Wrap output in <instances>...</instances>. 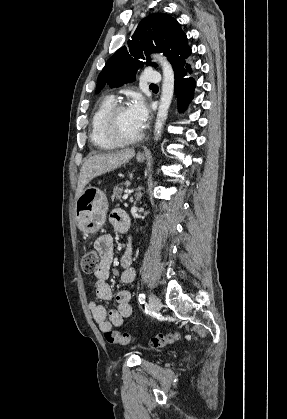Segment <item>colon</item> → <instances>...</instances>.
I'll list each match as a JSON object with an SVG mask.
<instances>
[{
	"label": "colon",
	"instance_id": "colon-1",
	"mask_svg": "<svg viewBox=\"0 0 287 419\" xmlns=\"http://www.w3.org/2000/svg\"><path fill=\"white\" fill-rule=\"evenodd\" d=\"M100 261V254L96 250H85L80 259L81 268L83 272L87 274L95 273L99 267ZM105 339L111 344L127 345L132 342L133 337L127 333L108 331L105 333ZM179 340L180 334L174 332L168 334H158L151 339L150 343L153 348H161Z\"/></svg>",
	"mask_w": 287,
	"mask_h": 419
}]
</instances>
